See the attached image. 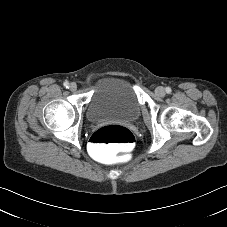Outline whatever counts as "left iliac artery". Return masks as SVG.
<instances>
[{"instance_id": "obj_1", "label": "left iliac artery", "mask_w": 227, "mask_h": 227, "mask_svg": "<svg viewBox=\"0 0 227 227\" xmlns=\"http://www.w3.org/2000/svg\"><path fill=\"white\" fill-rule=\"evenodd\" d=\"M165 91H166V93L170 94L172 90L170 87H166Z\"/></svg>"}]
</instances>
